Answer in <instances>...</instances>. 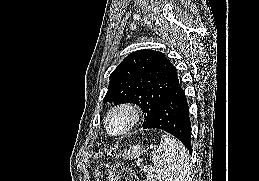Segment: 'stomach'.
Returning a JSON list of instances; mask_svg holds the SVG:
<instances>
[{
    "label": "stomach",
    "mask_w": 259,
    "mask_h": 181,
    "mask_svg": "<svg viewBox=\"0 0 259 181\" xmlns=\"http://www.w3.org/2000/svg\"><path fill=\"white\" fill-rule=\"evenodd\" d=\"M144 153V149L140 146H133L132 148L128 149L124 154L123 157L125 159H136L139 158Z\"/></svg>",
    "instance_id": "1"
}]
</instances>
